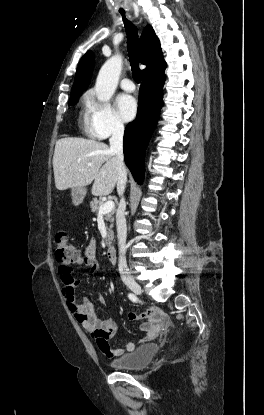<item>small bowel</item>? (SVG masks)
I'll use <instances>...</instances> for the list:
<instances>
[{
	"mask_svg": "<svg viewBox=\"0 0 264 415\" xmlns=\"http://www.w3.org/2000/svg\"><path fill=\"white\" fill-rule=\"evenodd\" d=\"M77 266H84L90 269L93 274H98L99 264L96 257V248L93 242H90L84 251L83 258L78 261ZM72 266L68 269L59 268L58 273L64 286V294L68 290H75L79 285V281L72 276ZM67 300V299H66ZM97 300L103 306L107 302L102 295L97 296ZM68 306L83 329L89 333L99 345L101 351L108 356H122L134 350L136 343L127 342L123 347L112 349L110 346V339L118 332L117 324L113 319H101L96 314L92 303L85 297L80 301H68ZM146 319L145 322L139 325V330L145 335L137 341V344H145L157 338L162 326L167 321V316L157 308H151L145 312H130L128 314L129 321H136Z\"/></svg>",
	"mask_w": 264,
	"mask_h": 415,
	"instance_id": "small-bowel-1",
	"label": "small bowel"
}]
</instances>
